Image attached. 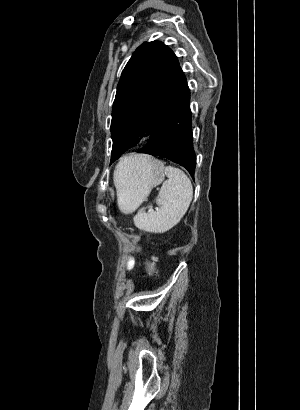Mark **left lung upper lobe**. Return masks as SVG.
<instances>
[{"instance_id":"left-lung-upper-lobe-1","label":"left lung upper lobe","mask_w":300,"mask_h":410,"mask_svg":"<svg viewBox=\"0 0 300 410\" xmlns=\"http://www.w3.org/2000/svg\"><path fill=\"white\" fill-rule=\"evenodd\" d=\"M187 80L164 43L145 42L126 64L113 103L111 163L145 135L184 97Z\"/></svg>"}]
</instances>
